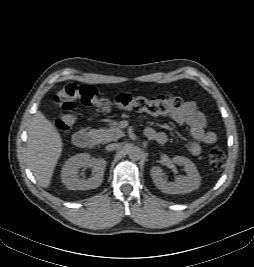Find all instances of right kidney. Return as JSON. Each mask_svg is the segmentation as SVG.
<instances>
[{"instance_id":"ca27d5eb","label":"right kidney","mask_w":254,"mask_h":267,"mask_svg":"<svg viewBox=\"0 0 254 267\" xmlns=\"http://www.w3.org/2000/svg\"><path fill=\"white\" fill-rule=\"evenodd\" d=\"M107 162L102 159L91 160L87 153L77 154L69 158L62 168V183L69 190H89L98 188L103 182L104 171ZM82 167H91L92 177L84 180L80 179L78 171Z\"/></svg>"}]
</instances>
